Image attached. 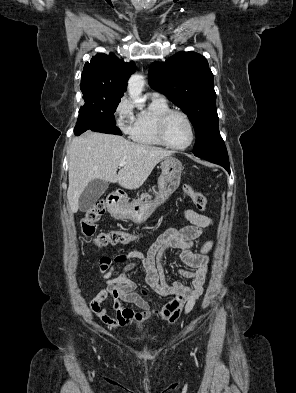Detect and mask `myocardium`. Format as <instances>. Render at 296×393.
<instances>
[{"mask_svg":"<svg viewBox=\"0 0 296 393\" xmlns=\"http://www.w3.org/2000/svg\"><path fill=\"white\" fill-rule=\"evenodd\" d=\"M175 115H178V116H181L182 118H184L189 126L190 139L183 146L172 145L166 138V127H167L168 121L170 120L171 117H173ZM157 134H158V138H159L161 144L169 149H172V150L188 149L193 144V142L195 140V129H194V125L192 123V120L185 112L180 111V110H169L161 116V118L159 119V122H158Z\"/></svg>","mask_w":296,"mask_h":393,"instance_id":"myocardium-1","label":"myocardium"}]
</instances>
